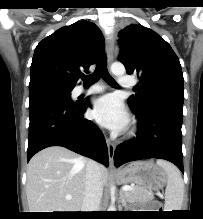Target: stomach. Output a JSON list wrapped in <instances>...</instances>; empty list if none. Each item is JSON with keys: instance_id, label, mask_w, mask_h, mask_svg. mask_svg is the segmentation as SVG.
<instances>
[{"instance_id": "0dacf381", "label": "stomach", "mask_w": 203, "mask_h": 219, "mask_svg": "<svg viewBox=\"0 0 203 219\" xmlns=\"http://www.w3.org/2000/svg\"><path fill=\"white\" fill-rule=\"evenodd\" d=\"M118 181L135 183L144 190H159L167 183V173L153 162H132L118 171Z\"/></svg>"}]
</instances>
